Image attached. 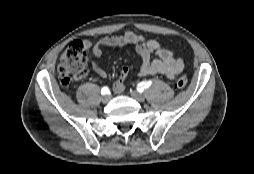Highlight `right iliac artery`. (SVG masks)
<instances>
[{
    "label": "right iliac artery",
    "mask_w": 254,
    "mask_h": 174,
    "mask_svg": "<svg viewBox=\"0 0 254 174\" xmlns=\"http://www.w3.org/2000/svg\"><path fill=\"white\" fill-rule=\"evenodd\" d=\"M108 93H109L108 87H103V88L101 89V94H102V95H105V94H108Z\"/></svg>",
    "instance_id": "1"
}]
</instances>
